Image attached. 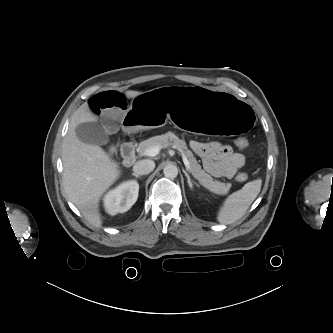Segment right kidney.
I'll use <instances>...</instances> for the list:
<instances>
[{
  "mask_svg": "<svg viewBox=\"0 0 333 333\" xmlns=\"http://www.w3.org/2000/svg\"><path fill=\"white\" fill-rule=\"evenodd\" d=\"M139 184L128 180L110 190L103 199L104 208L110 215L128 211L137 201Z\"/></svg>",
  "mask_w": 333,
  "mask_h": 333,
  "instance_id": "obj_1",
  "label": "right kidney"
}]
</instances>
